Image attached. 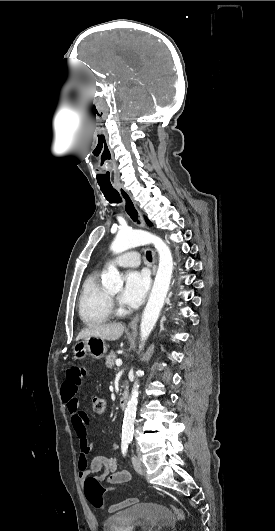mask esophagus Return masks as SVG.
Returning <instances> with one entry per match:
<instances>
[{"label":"esophagus","instance_id":"obj_1","mask_svg":"<svg viewBox=\"0 0 275 531\" xmlns=\"http://www.w3.org/2000/svg\"><path fill=\"white\" fill-rule=\"evenodd\" d=\"M115 188L119 192L123 200L124 210L127 216L132 221V223L136 224L139 227H145V223L142 218V215L140 211L138 210V208L136 207L133 199L131 198L126 188L122 184L115 185ZM154 263L155 264L153 266V274H155L156 272V263H157V258H156L155 253H154ZM138 320H139V315H136L129 324L130 328H137Z\"/></svg>","mask_w":275,"mask_h":531}]
</instances>
